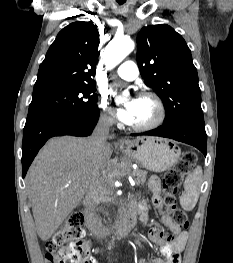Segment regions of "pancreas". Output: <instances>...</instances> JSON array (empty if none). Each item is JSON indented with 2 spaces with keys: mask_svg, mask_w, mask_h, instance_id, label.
<instances>
[{
  "mask_svg": "<svg viewBox=\"0 0 233 263\" xmlns=\"http://www.w3.org/2000/svg\"><path fill=\"white\" fill-rule=\"evenodd\" d=\"M131 176L134 178L136 185L139 186L146 182L147 172L137 169L132 171Z\"/></svg>",
  "mask_w": 233,
  "mask_h": 263,
  "instance_id": "obj_1",
  "label": "pancreas"
}]
</instances>
